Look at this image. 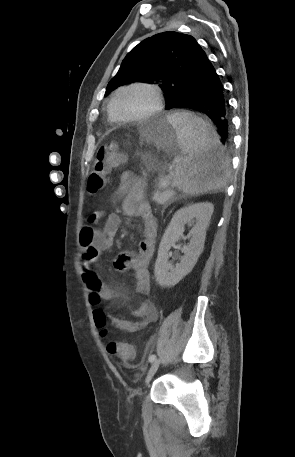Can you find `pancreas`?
Here are the masks:
<instances>
[{
    "label": "pancreas",
    "mask_w": 295,
    "mask_h": 457,
    "mask_svg": "<svg viewBox=\"0 0 295 457\" xmlns=\"http://www.w3.org/2000/svg\"><path fill=\"white\" fill-rule=\"evenodd\" d=\"M153 201L157 203H166V202H171L174 200V192L170 188V181L168 180V183L166 186H162L160 181L157 185V191L153 193L152 197Z\"/></svg>",
    "instance_id": "obj_1"
}]
</instances>
